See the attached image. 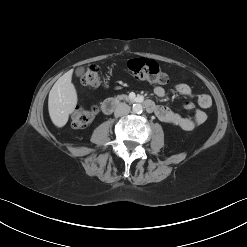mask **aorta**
I'll use <instances>...</instances> for the list:
<instances>
[{
	"mask_svg": "<svg viewBox=\"0 0 247 247\" xmlns=\"http://www.w3.org/2000/svg\"><path fill=\"white\" fill-rule=\"evenodd\" d=\"M132 111L136 114L142 113L143 107L139 103L133 104Z\"/></svg>",
	"mask_w": 247,
	"mask_h": 247,
	"instance_id": "obj_1",
	"label": "aorta"
}]
</instances>
